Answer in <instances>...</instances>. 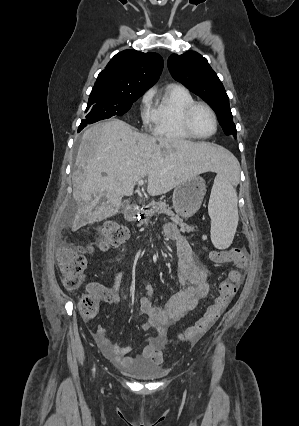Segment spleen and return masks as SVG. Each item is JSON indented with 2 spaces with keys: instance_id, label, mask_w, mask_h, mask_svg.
Masks as SVG:
<instances>
[{
  "instance_id": "obj_1",
  "label": "spleen",
  "mask_w": 299,
  "mask_h": 426,
  "mask_svg": "<svg viewBox=\"0 0 299 426\" xmlns=\"http://www.w3.org/2000/svg\"><path fill=\"white\" fill-rule=\"evenodd\" d=\"M237 203V193L229 175L225 171L219 172L208 204L211 241L217 249H227L232 244L239 220Z\"/></svg>"
}]
</instances>
